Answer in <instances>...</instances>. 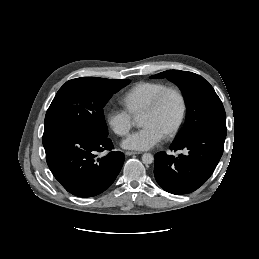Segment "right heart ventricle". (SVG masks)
Masks as SVG:
<instances>
[{
	"mask_svg": "<svg viewBox=\"0 0 259 259\" xmlns=\"http://www.w3.org/2000/svg\"><path fill=\"white\" fill-rule=\"evenodd\" d=\"M168 86L162 82L144 81L130 88L123 96L122 101L126 109L137 117L150 106L157 95Z\"/></svg>",
	"mask_w": 259,
	"mask_h": 259,
	"instance_id": "1",
	"label": "right heart ventricle"
}]
</instances>
